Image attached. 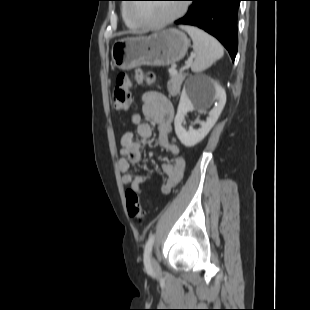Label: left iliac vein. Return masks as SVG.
<instances>
[{
  "label": "left iliac vein",
  "instance_id": "1",
  "mask_svg": "<svg viewBox=\"0 0 310 310\" xmlns=\"http://www.w3.org/2000/svg\"><path fill=\"white\" fill-rule=\"evenodd\" d=\"M151 269L154 274L160 273V266L154 257L151 258Z\"/></svg>",
  "mask_w": 310,
  "mask_h": 310
}]
</instances>
